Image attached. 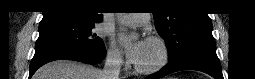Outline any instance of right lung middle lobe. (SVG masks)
<instances>
[{
	"label": "right lung middle lobe",
	"instance_id": "obj_1",
	"mask_svg": "<svg viewBox=\"0 0 255 79\" xmlns=\"http://www.w3.org/2000/svg\"><path fill=\"white\" fill-rule=\"evenodd\" d=\"M94 25L95 22L67 18L41 21L35 50L47 47L101 49L104 44L101 38L93 34Z\"/></svg>",
	"mask_w": 255,
	"mask_h": 79
}]
</instances>
